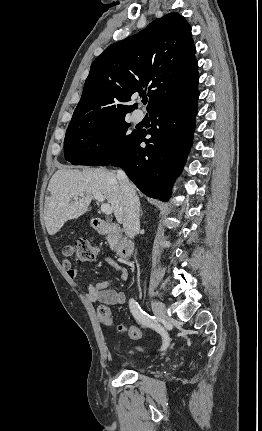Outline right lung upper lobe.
I'll use <instances>...</instances> for the list:
<instances>
[{"label": "right lung upper lobe", "instance_id": "right-lung-upper-lobe-1", "mask_svg": "<svg viewBox=\"0 0 262 431\" xmlns=\"http://www.w3.org/2000/svg\"><path fill=\"white\" fill-rule=\"evenodd\" d=\"M191 27L170 13L110 45L92 63L71 122L125 116L132 95L148 88V110L188 96L198 85ZM70 122V123H71Z\"/></svg>", "mask_w": 262, "mask_h": 431}]
</instances>
